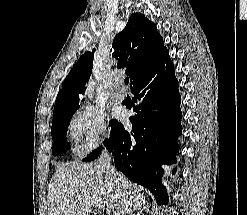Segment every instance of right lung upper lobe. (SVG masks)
I'll list each match as a JSON object with an SVG mask.
<instances>
[{
    "instance_id": "cb5924a9",
    "label": "right lung upper lobe",
    "mask_w": 247,
    "mask_h": 215,
    "mask_svg": "<svg viewBox=\"0 0 247 215\" xmlns=\"http://www.w3.org/2000/svg\"><path fill=\"white\" fill-rule=\"evenodd\" d=\"M112 47L118 68H126L130 85L152 68L167 51L155 24L140 13L130 16L124 30L115 36ZM92 67L93 53L86 52L74 65L58 92L53 114L79 104L78 94L84 92Z\"/></svg>"
}]
</instances>
